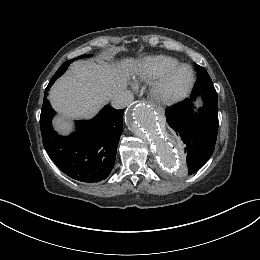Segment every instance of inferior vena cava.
I'll return each instance as SVG.
<instances>
[{
    "label": "inferior vena cava",
    "instance_id": "obj_1",
    "mask_svg": "<svg viewBox=\"0 0 260 260\" xmlns=\"http://www.w3.org/2000/svg\"><path fill=\"white\" fill-rule=\"evenodd\" d=\"M134 95L130 90H121L116 93L112 99L111 104L115 109H123L132 103Z\"/></svg>",
    "mask_w": 260,
    "mask_h": 260
}]
</instances>
